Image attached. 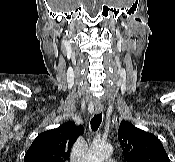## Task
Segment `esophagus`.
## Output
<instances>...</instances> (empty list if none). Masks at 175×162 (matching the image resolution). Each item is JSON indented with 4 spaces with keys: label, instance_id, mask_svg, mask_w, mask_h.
Wrapping results in <instances>:
<instances>
[{
    "label": "esophagus",
    "instance_id": "1",
    "mask_svg": "<svg viewBox=\"0 0 175 162\" xmlns=\"http://www.w3.org/2000/svg\"><path fill=\"white\" fill-rule=\"evenodd\" d=\"M103 111V108L102 107H95V113L96 114H99Z\"/></svg>",
    "mask_w": 175,
    "mask_h": 162
}]
</instances>
